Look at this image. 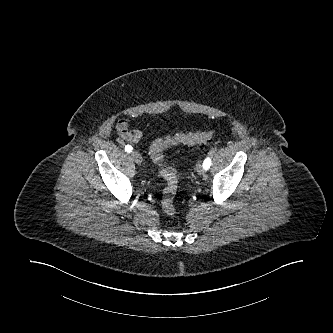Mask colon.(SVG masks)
Here are the masks:
<instances>
[{
    "mask_svg": "<svg viewBox=\"0 0 333 333\" xmlns=\"http://www.w3.org/2000/svg\"><path fill=\"white\" fill-rule=\"evenodd\" d=\"M214 135V132L200 133H179L174 136H166L156 139L150 146V155L154 163L159 167L160 174L166 181V187L163 191L161 201L162 210L168 215H174L176 208L174 197L178 188V178L175 169L166 166L163 163L162 152L164 149L174 145H200L208 142Z\"/></svg>",
    "mask_w": 333,
    "mask_h": 333,
    "instance_id": "obj_1",
    "label": "colon"
}]
</instances>
